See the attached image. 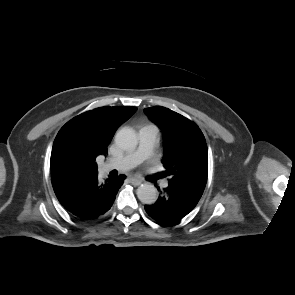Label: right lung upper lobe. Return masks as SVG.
<instances>
[{
	"label": "right lung upper lobe",
	"mask_w": 295,
	"mask_h": 295,
	"mask_svg": "<svg viewBox=\"0 0 295 295\" xmlns=\"http://www.w3.org/2000/svg\"><path fill=\"white\" fill-rule=\"evenodd\" d=\"M136 110L126 106L99 107L68 121L53 143L51 181L97 174L96 158L106 156L114 133Z\"/></svg>",
	"instance_id": "cb5924a9"
}]
</instances>
